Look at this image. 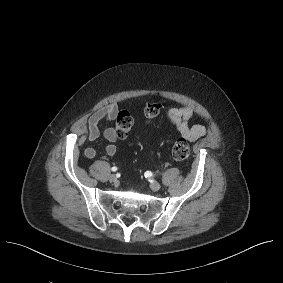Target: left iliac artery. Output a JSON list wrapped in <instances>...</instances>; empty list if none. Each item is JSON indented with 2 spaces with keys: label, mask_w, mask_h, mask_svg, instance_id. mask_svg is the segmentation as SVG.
I'll list each match as a JSON object with an SVG mask.
<instances>
[{
  "label": "left iliac artery",
  "mask_w": 283,
  "mask_h": 283,
  "mask_svg": "<svg viewBox=\"0 0 283 283\" xmlns=\"http://www.w3.org/2000/svg\"><path fill=\"white\" fill-rule=\"evenodd\" d=\"M146 174H148V175H149V177H151V176H152V172L147 171V172H146Z\"/></svg>",
  "instance_id": "1"
}]
</instances>
